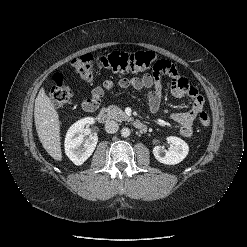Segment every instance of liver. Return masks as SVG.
<instances>
[{
  "instance_id": "liver-1",
  "label": "liver",
  "mask_w": 247,
  "mask_h": 247,
  "mask_svg": "<svg viewBox=\"0 0 247 247\" xmlns=\"http://www.w3.org/2000/svg\"><path fill=\"white\" fill-rule=\"evenodd\" d=\"M34 119L42 146L55 160H62L59 115L42 87L35 100Z\"/></svg>"
}]
</instances>
